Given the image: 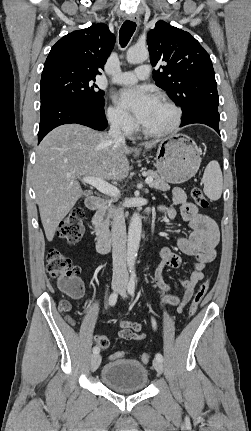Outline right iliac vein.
Instances as JSON below:
<instances>
[{"instance_id":"right-iliac-vein-1","label":"right iliac vein","mask_w":251,"mask_h":431,"mask_svg":"<svg viewBox=\"0 0 251 431\" xmlns=\"http://www.w3.org/2000/svg\"><path fill=\"white\" fill-rule=\"evenodd\" d=\"M121 287V284L118 281L113 282L112 288L114 291H119ZM101 363V355L100 354H94L91 358V370L95 371L99 367Z\"/></svg>"}]
</instances>
